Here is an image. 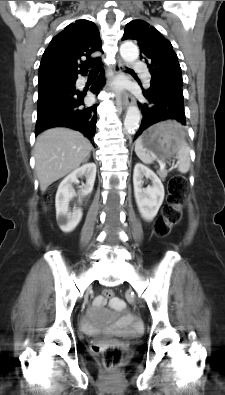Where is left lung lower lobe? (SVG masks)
I'll return each instance as SVG.
<instances>
[{
	"label": "left lung lower lobe",
	"mask_w": 225,
	"mask_h": 395,
	"mask_svg": "<svg viewBox=\"0 0 225 395\" xmlns=\"http://www.w3.org/2000/svg\"><path fill=\"white\" fill-rule=\"evenodd\" d=\"M147 103H139L142 109L143 119L135 139L149 126L168 119L186 124L183 102L182 86L172 83L151 84L147 91L143 90Z\"/></svg>",
	"instance_id": "obj_1"
}]
</instances>
